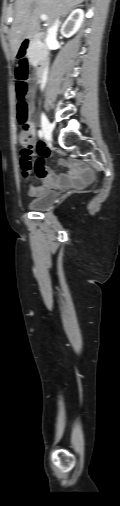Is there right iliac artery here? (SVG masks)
I'll return each instance as SVG.
<instances>
[{
    "label": "right iliac artery",
    "mask_w": 120,
    "mask_h": 506,
    "mask_svg": "<svg viewBox=\"0 0 120 506\" xmlns=\"http://www.w3.org/2000/svg\"><path fill=\"white\" fill-rule=\"evenodd\" d=\"M38 135H39V137L42 139V138H43V136H44L43 131H42V130H39V131H38Z\"/></svg>",
    "instance_id": "1"
}]
</instances>
